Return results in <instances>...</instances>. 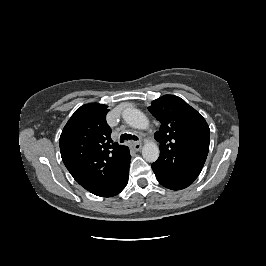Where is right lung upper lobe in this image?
<instances>
[{
	"instance_id": "1",
	"label": "right lung upper lobe",
	"mask_w": 266,
	"mask_h": 266,
	"mask_svg": "<svg viewBox=\"0 0 266 266\" xmlns=\"http://www.w3.org/2000/svg\"><path fill=\"white\" fill-rule=\"evenodd\" d=\"M107 107L96 103L81 106L59 140L62 160L73 178L101 197L110 196L117 188L131 159L128 147L111 139Z\"/></svg>"
}]
</instances>
